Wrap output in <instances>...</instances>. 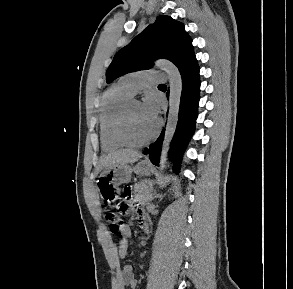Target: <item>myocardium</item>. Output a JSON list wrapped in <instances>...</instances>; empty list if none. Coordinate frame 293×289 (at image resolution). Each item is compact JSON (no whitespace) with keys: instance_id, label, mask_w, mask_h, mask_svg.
I'll use <instances>...</instances> for the list:
<instances>
[{"instance_id":"myocardium-1","label":"myocardium","mask_w":293,"mask_h":289,"mask_svg":"<svg viewBox=\"0 0 293 289\" xmlns=\"http://www.w3.org/2000/svg\"><path fill=\"white\" fill-rule=\"evenodd\" d=\"M137 102H139L137 99H130L125 104L120 114V118L117 125V135L119 140L123 143L124 146L131 148H140L149 145L152 141L156 139L161 129V123L157 121L155 130L149 138L143 141H135L134 139H132L129 133V115L131 107L133 106V104Z\"/></svg>"}]
</instances>
